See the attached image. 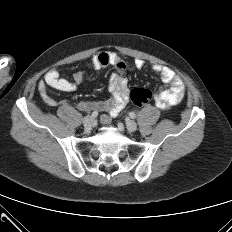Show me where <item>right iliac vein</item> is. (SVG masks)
<instances>
[{
	"label": "right iliac vein",
	"instance_id": "obj_1",
	"mask_svg": "<svg viewBox=\"0 0 232 232\" xmlns=\"http://www.w3.org/2000/svg\"><path fill=\"white\" fill-rule=\"evenodd\" d=\"M93 118L91 116H86L83 118V125L86 129L91 128V126L93 125Z\"/></svg>",
	"mask_w": 232,
	"mask_h": 232
}]
</instances>
